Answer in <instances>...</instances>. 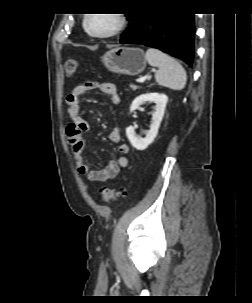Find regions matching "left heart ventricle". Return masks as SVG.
Listing matches in <instances>:
<instances>
[{"label":"left heart ventricle","instance_id":"obj_1","mask_svg":"<svg viewBox=\"0 0 252 303\" xmlns=\"http://www.w3.org/2000/svg\"><path fill=\"white\" fill-rule=\"evenodd\" d=\"M115 23V18L111 14H96L89 20V28L92 31H105Z\"/></svg>","mask_w":252,"mask_h":303}]
</instances>
